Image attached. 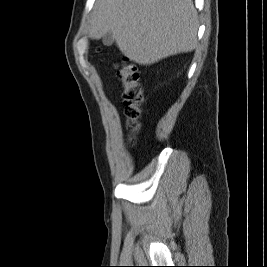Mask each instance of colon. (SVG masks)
<instances>
[{
  "instance_id": "colon-1",
  "label": "colon",
  "mask_w": 267,
  "mask_h": 267,
  "mask_svg": "<svg viewBox=\"0 0 267 267\" xmlns=\"http://www.w3.org/2000/svg\"><path fill=\"white\" fill-rule=\"evenodd\" d=\"M117 76L123 84V102L128 129L134 133L139 129V118L142 114L143 94L140 74L135 64L125 59L117 68ZM129 140L132 142L133 137Z\"/></svg>"
}]
</instances>
